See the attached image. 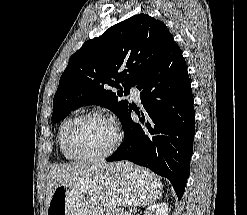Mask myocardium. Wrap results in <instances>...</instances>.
<instances>
[{
  "instance_id": "obj_1",
  "label": "myocardium",
  "mask_w": 247,
  "mask_h": 215,
  "mask_svg": "<svg viewBox=\"0 0 247 215\" xmlns=\"http://www.w3.org/2000/svg\"><path fill=\"white\" fill-rule=\"evenodd\" d=\"M89 118H97V119L104 120L108 122L109 124H111V126L113 127L115 131V138H114L113 143L104 152L97 153V154H83V153H80L76 149V146H75L76 129L82 121L89 119ZM121 141H122V132H121L119 125L110 116L100 111H88V112H85L75 117L67 132V146H68L69 153L71 154L73 158H75L76 160H81V161H99V160L106 159L110 157L118 149V147L121 144Z\"/></svg>"
}]
</instances>
